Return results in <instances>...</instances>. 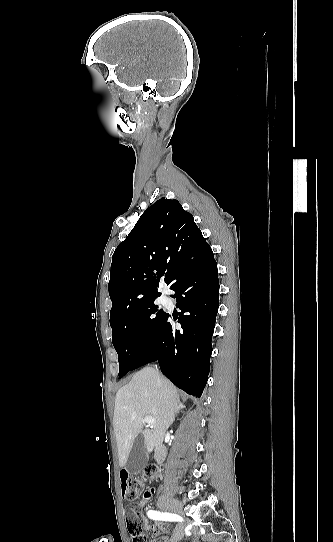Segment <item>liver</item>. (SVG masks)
I'll list each match as a JSON object with an SVG mask.
<instances>
[{
    "label": "liver",
    "instance_id": "1",
    "mask_svg": "<svg viewBox=\"0 0 333 542\" xmlns=\"http://www.w3.org/2000/svg\"><path fill=\"white\" fill-rule=\"evenodd\" d=\"M178 390L154 368H143L115 396L113 428L120 468L126 466L135 438L143 434L147 452L161 446L179 410ZM155 420L143 430V418Z\"/></svg>",
    "mask_w": 333,
    "mask_h": 542
}]
</instances>
